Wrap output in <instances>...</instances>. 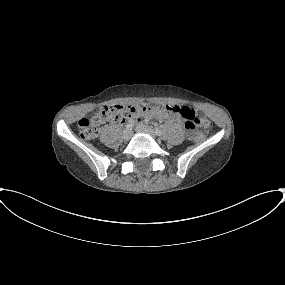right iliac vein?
<instances>
[{
    "instance_id": "63e3f726",
    "label": "right iliac vein",
    "mask_w": 285,
    "mask_h": 285,
    "mask_svg": "<svg viewBox=\"0 0 285 285\" xmlns=\"http://www.w3.org/2000/svg\"><path fill=\"white\" fill-rule=\"evenodd\" d=\"M132 137V132L130 130H125L123 132V139L128 141Z\"/></svg>"
}]
</instances>
